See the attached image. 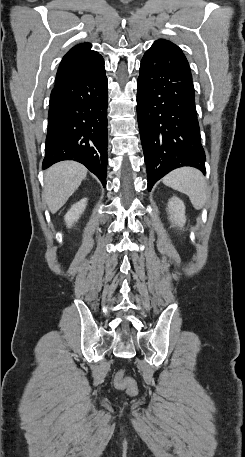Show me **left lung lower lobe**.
I'll return each instance as SVG.
<instances>
[{"label": "left lung lower lobe", "instance_id": "left-lung-lower-lobe-1", "mask_svg": "<svg viewBox=\"0 0 245 457\" xmlns=\"http://www.w3.org/2000/svg\"><path fill=\"white\" fill-rule=\"evenodd\" d=\"M137 89L148 190L178 167L205 173L192 74L182 50L170 41H156L141 60Z\"/></svg>", "mask_w": 245, "mask_h": 457}]
</instances>
